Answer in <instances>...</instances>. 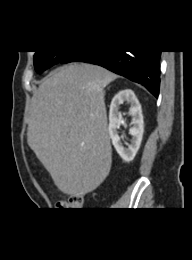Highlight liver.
<instances>
[{"label": "liver", "instance_id": "1", "mask_svg": "<svg viewBox=\"0 0 192 260\" xmlns=\"http://www.w3.org/2000/svg\"><path fill=\"white\" fill-rule=\"evenodd\" d=\"M116 78L98 65L71 63L46 78L33 96L27 142L64 194L83 196L110 172L103 90Z\"/></svg>", "mask_w": 192, "mask_h": 260}]
</instances>
